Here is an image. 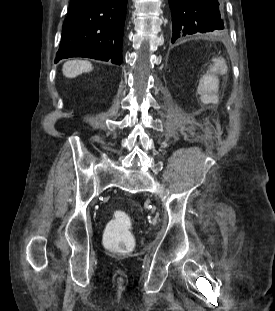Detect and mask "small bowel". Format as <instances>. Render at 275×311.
<instances>
[{"mask_svg":"<svg viewBox=\"0 0 275 311\" xmlns=\"http://www.w3.org/2000/svg\"><path fill=\"white\" fill-rule=\"evenodd\" d=\"M209 69L205 73H200L199 82L196 87V92L199 93L202 103H206L207 108H218L221 80L227 75L226 57L225 56H210Z\"/></svg>","mask_w":275,"mask_h":311,"instance_id":"small-bowel-1","label":"small bowel"}]
</instances>
